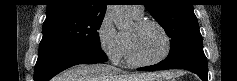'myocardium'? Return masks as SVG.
I'll list each match as a JSON object with an SVG mask.
<instances>
[{"instance_id": "obj_1", "label": "myocardium", "mask_w": 237, "mask_h": 81, "mask_svg": "<svg viewBox=\"0 0 237 81\" xmlns=\"http://www.w3.org/2000/svg\"><path fill=\"white\" fill-rule=\"evenodd\" d=\"M134 24L137 28H144L149 25H152V26H155L156 28H158L165 39L166 48H165L164 53L157 59L143 60V59L139 58L138 55L136 54L133 44H132V41H131V38L128 35H126L127 50H128V54H129V58H130L131 62L135 65H138V66H150V65H155V64H158V63L164 61L169 56V54L171 52V48H172L171 38H170L169 34L166 32V30L164 29V27L157 21L150 20V19H139Z\"/></svg>"}]
</instances>
